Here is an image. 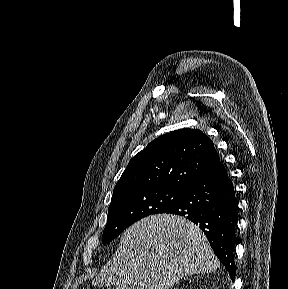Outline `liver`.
I'll return each instance as SVG.
<instances>
[{
	"mask_svg": "<svg viewBox=\"0 0 288 289\" xmlns=\"http://www.w3.org/2000/svg\"><path fill=\"white\" fill-rule=\"evenodd\" d=\"M219 261L201 229L173 214L151 215L130 226L112 258L92 281L116 289H170L180 278L215 271Z\"/></svg>",
	"mask_w": 288,
	"mask_h": 289,
	"instance_id": "1",
	"label": "liver"
}]
</instances>
